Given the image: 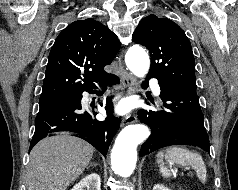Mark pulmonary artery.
Returning <instances> with one entry per match:
<instances>
[{
	"label": "pulmonary artery",
	"instance_id": "e3ab8cb5",
	"mask_svg": "<svg viewBox=\"0 0 238 190\" xmlns=\"http://www.w3.org/2000/svg\"><path fill=\"white\" fill-rule=\"evenodd\" d=\"M152 87H153L154 94L156 96H159L161 93L159 85L156 82H152Z\"/></svg>",
	"mask_w": 238,
	"mask_h": 190
}]
</instances>
